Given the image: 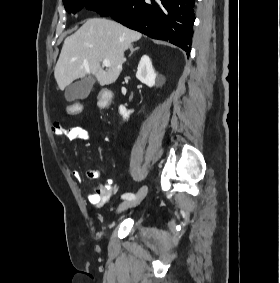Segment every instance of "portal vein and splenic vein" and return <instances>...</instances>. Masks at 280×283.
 <instances>
[{"instance_id": "obj_1", "label": "portal vein and splenic vein", "mask_w": 280, "mask_h": 283, "mask_svg": "<svg viewBox=\"0 0 280 283\" xmlns=\"http://www.w3.org/2000/svg\"><path fill=\"white\" fill-rule=\"evenodd\" d=\"M102 64H103V66H105V67H110V66H111L110 61L107 60V59H104V60L102 61Z\"/></svg>"}]
</instances>
